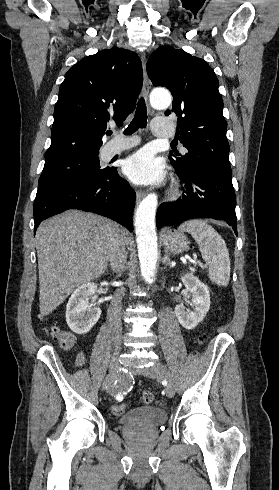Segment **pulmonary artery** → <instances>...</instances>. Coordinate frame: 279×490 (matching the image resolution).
Returning <instances> with one entry per match:
<instances>
[{
	"label": "pulmonary artery",
	"mask_w": 279,
	"mask_h": 490,
	"mask_svg": "<svg viewBox=\"0 0 279 490\" xmlns=\"http://www.w3.org/2000/svg\"><path fill=\"white\" fill-rule=\"evenodd\" d=\"M152 129L161 140H169L174 131L168 117H156ZM114 143L105 147V156L108 158L118 155L132 146H139L140 140L139 137H115Z\"/></svg>",
	"instance_id": "e3ab8cb5"
}]
</instances>
